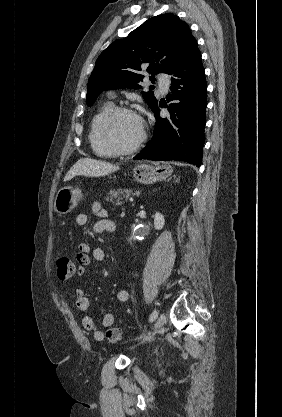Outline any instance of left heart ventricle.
Here are the masks:
<instances>
[{"label": "left heart ventricle", "instance_id": "obj_1", "mask_svg": "<svg viewBox=\"0 0 282 417\" xmlns=\"http://www.w3.org/2000/svg\"><path fill=\"white\" fill-rule=\"evenodd\" d=\"M140 134V121L132 115H120L114 120L110 129L112 141L119 146L134 143L140 137Z\"/></svg>", "mask_w": 282, "mask_h": 417}]
</instances>
